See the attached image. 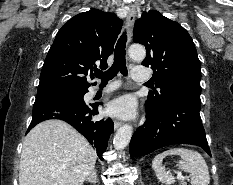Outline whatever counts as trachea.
<instances>
[{
    "mask_svg": "<svg viewBox=\"0 0 233 185\" xmlns=\"http://www.w3.org/2000/svg\"><path fill=\"white\" fill-rule=\"evenodd\" d=\"M127 35L123 33L119 38L114 52V63L113 65L105 72L96 71L95 77L101 79V84H106L109 80L113 79L118 72L122 73L124 76H127L128 71L126 67L125 59V47H126Z\"/></svg>",
    "mask_w": 233,
    "mask_h": 185,
    "instance_id": "obj_1",
    "label": "trachea"
}]
</instances>
